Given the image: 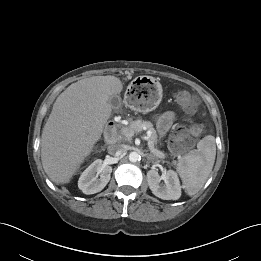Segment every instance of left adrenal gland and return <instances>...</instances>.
<instances>
[{"instance_id": "a2214340", "label": "left adrenal gland", "mask_w": 261, "mask_h": 261, "mask_svg": "<svg viewBox=\"0 0 261 261\" xmlns=\"http://www.w3.org/2000/svg\"><path fill=\"white\" fill-rule=\"evenodd\" d=\"M147 159L150 160V159H152V158H151L150 156H147Z\"/></svg>"}]
</instances>
